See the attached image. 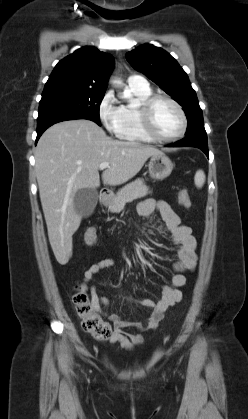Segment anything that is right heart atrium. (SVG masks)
<instances>
[{
  "label": "right heart atrium",
  "instance_id": "d8ad5b80",
  "mask_svg": "<svg viewBox=\"0 0 248 419\" xmlns=\"http://www.w3.org/2000/svg\"><path fill=\"white\" fill-rule=\"evenodd\" d=\"M98 115L101 123L110 133L118 136L122 121V107L114 95V92L109 90L102 97L98 106Z\"/></svg>",
  "mask_w": 248,
  "mask_h": 419
}]
</instances>
